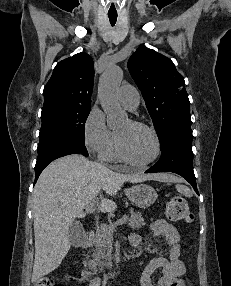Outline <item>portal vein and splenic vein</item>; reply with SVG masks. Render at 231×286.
Here are the masks:
<instances>
[{"label":"portal vein and splenic vein","mask_w":231,"mask_h":286,"mask_svg":"<svg viewBox=\"0 0 231 286\" xmlns=\"http://www.w3.org/2000/svg\"><path fill=\"white\" fill-rule=\"evenodd\" d=\"M99 204V201L97 199H94L88 206H86V211L87 212H92L93 210H95V208L98 206ZM128 220V217L127 216H124L122 217L121 219L117 220L114 224H112L110 227H109V231L111 233H113V230L119 226V225H122L124 224L126 221Z\"/></svg>","instance_id":"obj_1"}]
</instances>
